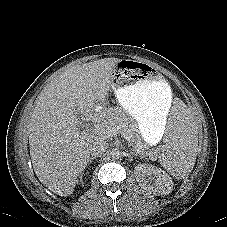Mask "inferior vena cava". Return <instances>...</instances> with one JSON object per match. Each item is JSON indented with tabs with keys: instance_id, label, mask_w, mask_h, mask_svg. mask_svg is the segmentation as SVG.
Returning <instances> with one entry per match:
<instances>
[{
	"instance_id": "1",
	"label": "inferior vena cava",
	"mask_w": 227,
	"mask_h": 227,
	"mask_svg": "<svg viewBox=\"0 0 227 227\" xmlns=\"http://www.w3.org/2000/svg\"><path fill=\"white\" fill-rule=\"evenodd\" d=\"M108 148V143L102 138H97L89 147V151L92 156L99 157L106 152Z\"/></svg>"
}]
</instances>
